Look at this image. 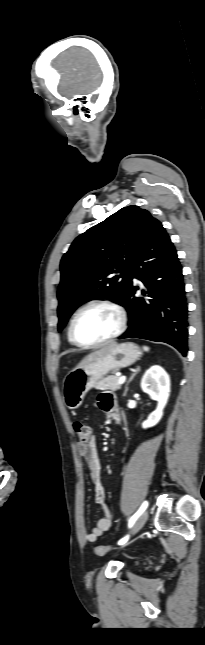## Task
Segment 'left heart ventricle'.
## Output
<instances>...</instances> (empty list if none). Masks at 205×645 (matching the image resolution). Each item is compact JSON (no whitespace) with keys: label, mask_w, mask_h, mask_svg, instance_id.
Instances as JSON below:
<instances>
[{"label":"left heart ventricle","mask_w":205,"mask_h":645,"mask_svg":"<svg viewBox=\"0 0 205 645\" xmlns=\"http://www.w3.org/2000/svg\"><path fill=\"white\" fill-rule=\"evenodd\" d=\"M117 325L118 317L112 309L93 306L79 315L75 323V332L83 342H96L111 335Z\"/></svg>","instance_id":"1"}]
</instances>
